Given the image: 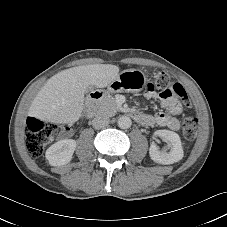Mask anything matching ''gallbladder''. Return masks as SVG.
<instances>
[{
    "label": "gallbladder",
    "mask_w": 227,
    "mask_h": 227,
    "mask_svg": "<svg viewBox=\"0 0 227 227\" xmlns=\"http://www.w3.org/2000/svg\"><path fill=\"white\" fill-rule=\"evenodd\" d=\"M93 90V87H88L86 92H89V91H92Z\"/></svg>",
    "instance_id": "bac80fb5"
}]
</instances>
